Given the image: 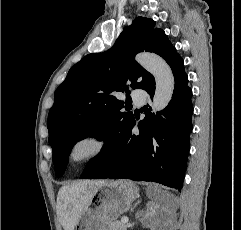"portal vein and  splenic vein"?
<instances>
[{
  "instance_id": "portal-vein-and-splenic-vein-1",
  "label": "portal vein and splenic vein",
  "mask_w": 241,
  "mask_h": 230,
  "mask_svg": "<svg viewBox=\"0 0 241 230\" xmlns=\"http://www.w3.org/2000/svg\"><path fill=\"white\" fill-rule=\"evenodd\" d=\"M121 222L124 223V224L128 223V218L127 217H123L121 219Z\"/></svg>"
}]
</instances>
